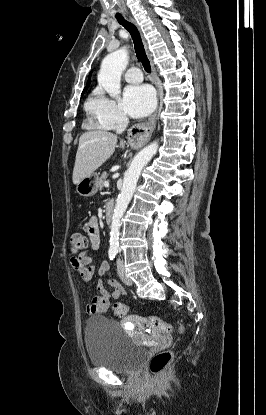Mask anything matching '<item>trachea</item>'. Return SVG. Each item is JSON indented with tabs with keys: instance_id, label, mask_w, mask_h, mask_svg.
I'll use <instances>...</instances> for the list:
<instances>
[{
	"instance_id": "3493384b",
	"label": "trachea",
	"mask_w": 266,
	"mask_h": 415,
	"mask_svg": "<svg viewBox=\"0 0 266 415\" xmlns=\"http://www.w3.org/2000/svg\"><path fill=\"white\" fill-rule=\"evenodd\" d=\"M116 19L118 20L119 24H121L131 34V37L134 43L136 56L139 59V61H141L145 71L150 73L151 72L150 62L145 53V49H144L141 36H140V33L137 27L133 23L124 19L122 15H116Z\"/></svg>"
}]
</instances>
